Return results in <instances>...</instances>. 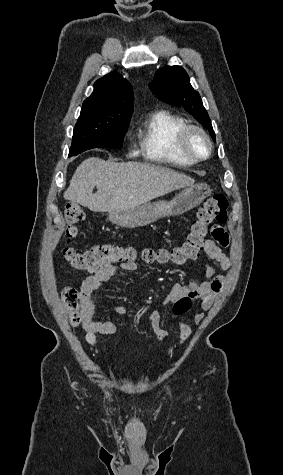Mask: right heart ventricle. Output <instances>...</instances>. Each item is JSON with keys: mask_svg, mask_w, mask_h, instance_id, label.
I'll list each match as a JSON object with an SVG mask.
<instances>
[{"mask_svg": "<svg viewBox=\"0 0 283 475\" xmlns=\"http://www.w3.org/2000/svg\"><path fill=\"white\" fill-rule=\"evenodd\" d=\"M188 125L187 120L170 110L159 109L134 126L140 153L150 161L167 162L162 158V146H173V139L178 132ZM177 150V149H176ZM175 156L182 157L177 150ZM183 162H192L185 160Z\"/></svg>", "mask_w": 283, "mask_h": 475, "instance_id": "e07e8e85", "label": "right heart ventricle"}]
</instances>
